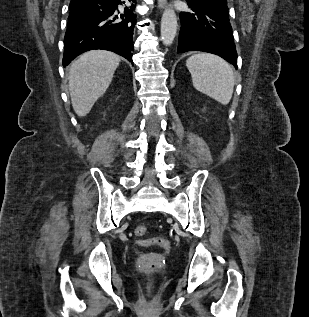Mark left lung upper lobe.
<instances>
[{
  "label": "left lung upper lobe",
  "instance_id": "obj_1",
  "mask_svg": "<svg viewBox=\"0 0 309 317\" xmlns=\"http://www.w3.org/2000/svg\"><path fill=\"white\" fill-rule=\"evenodd\" d=\"M188 4L204 7L215 8L228 11L227 0H186Z\"/></svg>",
  "mask_w": 309,
  "mask_h": 317
}]
</instances>
